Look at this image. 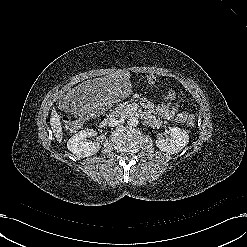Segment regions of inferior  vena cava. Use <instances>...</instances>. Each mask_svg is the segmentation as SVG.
I'll return each instance as SVG.
<instances>
[{
	"label": "inferior vena cava",
	"instance_id": "inferior-vena-cava-1",
	"mask_svg": "<svg viewBox=\"0 0 247 247\" xmlns=\"http://www.w3.org/2000/svg\"><path fill=\"white\" fill-rule=\"evenodd\" d=\"M123 122L124 120L122 118H119V116L115 114L109 115V126L115 127V126L122 124Z\"/></svg>",
	"mask_w": 247,
	"mask_h": 247
}]
</instances>
